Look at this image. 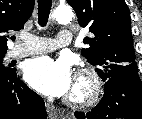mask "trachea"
Masks as SVG:
<instances>
[{"label":"trachea","mask_w":142,"mask_h":119,"mask_svg":"<svg viewBox=\"0 0 142 119\" xmlns=\"http://www.w3.org/2000/svg\"><path fill=\"white\" fill-rule=\"evenodd\" d=\"M51 6V0H38V23L40 26L47 24Z\"/></svg>","instance_id":"obj_1"}]
</instances>
